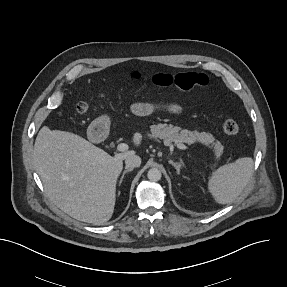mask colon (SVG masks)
Listing matches in <instances>:
<instances>
[{
    "mask_svg": "<svg viewBox=\"0 0 287 287\" xmlns=\"http://www.w3.org/2000/svg\"><path fill=\"white\" fill-rule=\"evenodd\" d=\"M131 78L141 80L142 75L140 73H134ZM150 81L160 87L175 86L183 90L201 88L208 84L206 75L194 72H181L177 74L156 73L151 76ZM89 108L90 105L88 102H80L77 106V110L80 113H86ZM222 129L229 135H237L241 132L239 123L233 119H225L222 122Z\"/></svg>",
    "mask_w": 287,
    "mask_h": 287,
    "instance_id": "1",
    "label": "colon"
}]
</instances>
